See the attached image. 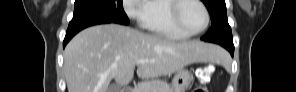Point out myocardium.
Returning <instances> with one entry per match:
<instances>
[{
    "mask_svg": "<svg viewBox=\"0 0 296 92\" xmlns=\"http://www.w3.org/2000/svg\"><path fill=\"white\" fill-rule=\"evenodd\" d=\"M189 1L196 2L197 4H199L203 9V11L205 13V18H206L204 26L200 30L195 31V32L187 31L182 26L181 21H180V10H181L182 6L186 2H189ZM170 19H171V22L174 25V27L179 32H181L182 34H184L187 37H193V36H197V35L201 34L202 32H204L207 29V27L210 23V13H209L207 7L205 6V4L200 0H176V1H173L172 5H171Z\"/></svg>",
    "mask_w": 296,
    "mask_h": 92,
    "instance_id": "1",
    "label": "myocardium"
}]
</instances>
